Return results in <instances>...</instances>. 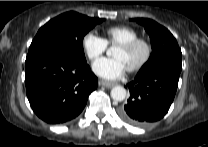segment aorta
<instances>
[{"instance_id":"obj_1","label":"aorta","mask_w":208,"mask_h":147,"mask_svg":"<svg viewBox=\"0 0 208 147\" xmlns=\"http://www.w3.org/2000/svg\"><path fill=\"white\" fill-rule=\"evenodd\" d=\"M108 54L110 51L107 52ZM111 97L115 101H123L126 97V90L122 86H115L111 90Z\"/></svg>"}]
</instances>
